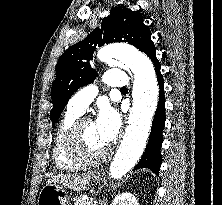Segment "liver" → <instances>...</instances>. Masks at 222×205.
<instances>
[{
    "label": "liver",
    "instance_id": "6515ba94",
    "mask_svg": "<svg viewBox=\"0 0 222 205\" xmlns=\"http://www.w3.org/2000/svg\"><path fill=\"white\" fill-rule=\"evenodd\" d=\"M93 174H61L51 177L48 180L50 184H61L66 188L76 191L87 190L89 188Z\"/></svg>",
    "mask_w": 222,
    "mask_h": 205
}]
</instances>
